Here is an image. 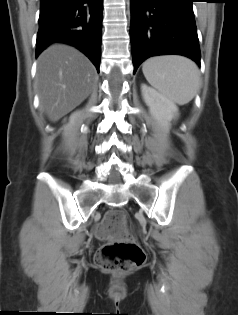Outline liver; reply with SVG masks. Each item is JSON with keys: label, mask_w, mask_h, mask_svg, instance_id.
Instances as JSON below:
<instances>
[{"label": "liver", "mask_w": 238, "mask_h": 315, "mask_svg": "<svg viewBox=\"0 0 238 315\" xmlns=\"http://www.w3.org/2000/svg\"><path fill=\"white\" fill-rule=\"evenodd\" d=\"M96 69L80 51L53 44L38 58L37 83L40 103L55 122L80 105L91 93Z\"/></svg>", "instance_id": "obj_1"}]
</instances>
